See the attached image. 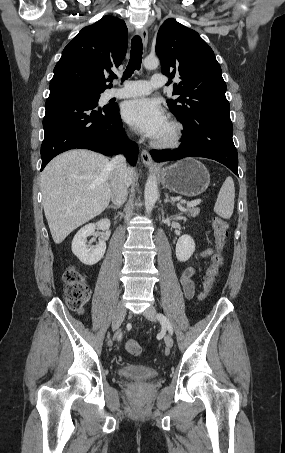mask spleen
<instances>
[{
    "label": "spleen",
    "instance_id": "1",
    "mask_svg": "<svg viewBox=\"0 0 285 453\" xmlns=\"http://www.w3.org/2000/svg\"><path fill=\"white\" fill-rule=\"evenodd\" d=\"M235 187L232 177L224 181L214 206V212L224 219H229L234 210Z\"/></svg>",
    "mask_w": 285,
    "mask_h": 453
}]
</instances>
